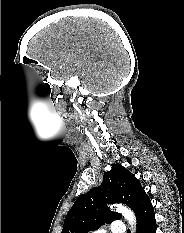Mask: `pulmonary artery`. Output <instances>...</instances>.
I'll list each match as a JSON object with an SVG mask.
<instances>
[{"label":"pulmonary artery","mask_w":184,"mask_h":233,"mask_svg":"<svg viewBox=\"0 0 184 233\" xmlns=\"http://www.w3.org/2000/svg\"><path fill=\"white\" fill-rule=\"evenodd\" d=\"M126 229L121 221H114L107 228H101L92 233H125Z\"/></svg>","instance_id":"e3ab8cb5"}]
</instances>
